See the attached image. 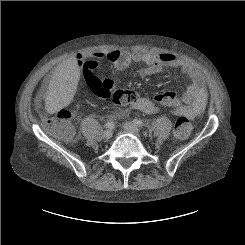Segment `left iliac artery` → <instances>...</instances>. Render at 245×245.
Masks as SVG:
<instances>
[{"mask_svg":"<svg viewBox=\"0 0 245 245\" xmlns=\"http://www.w3.org/2000/svg\"><path fill=\"white\" fill-rule=\"evenodd\" d=\"M133 122L135 125H137L139 127H142L144 125L142 120H140V119H134Z\"/></svg>","mask_w":245,"mask_h":245,"instance_id":"left-iliac-artery-1","label":"left iliac artery"}]
</instances>
